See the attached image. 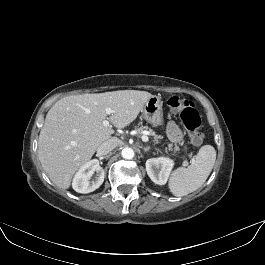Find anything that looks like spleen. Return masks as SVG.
<instances>
[{
    "label": "spleen",
    "mask_w": 265,
    "mask_h": 265,
    "mask_svg": "<svg viewBox=\"0 0 265 265\" xmlns=\"http://www.w3.org/2000/svg\"><path fill=\"white\" fill-rule=\"evenodd\" d=\"M216 160V151L211 145L200 148L195 159L187 168L179 167L173 171L169 189L174 196H185L203 185Z\"/></svg>",
    "instance_id": "1"
}]
</instances>
